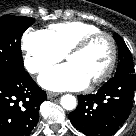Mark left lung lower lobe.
Segmentation results:
<instances>
[{
	"label": "left lung lower lobe",
	"mask_w": 136,
	"mask_h": 136,
	"mask_svg": "<svg viewBox=\"0 0 136 136\" xmlns=\"http://www.w3.org/2000/svg\"><path fill=\"white\" fill-rule=\"evenodd\" d=\"M136 74L117 75L96 94L79 95L77 108L69 114L71 123L89 136L112 135L130 114Z\"/></svg>",
	"instance_id": "left-lung-lower-lobe-1"
}]
</instances>
